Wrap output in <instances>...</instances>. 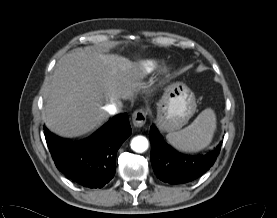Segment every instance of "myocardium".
Here are the masks:
<instances>
[{
  "instance_id": "1",
  "label": "myocardium",
  "mask_w": 277,
  "mask_h": 218,
  "mask_svg": "<svg viewBox=\"0 0 277 218\" xmlns=\"http://www.w3.org/2000/svg\"><path fill=\"white\" fill-rule=\"evenodd\" d=\"M164 71H165V72H168V69L166 68Z\"/></svg>"
}]
</instances>
